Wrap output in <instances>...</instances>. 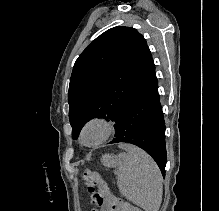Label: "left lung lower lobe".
I'll return each mask as SVG.
<instances>
[{
  "mask_svg": "<svg viewBox=\"0 0 219 211\" xmlns=\"http://www.w3.org/2000/svg\"><path fill=\"white\" fill-rule=\"evenodd\" d=\"M120 142L145 150L165 176V122L156 74L136 93L122 114L116 126L115 139L110 143Z\"/></svg>",
  "mask_w": 219,
  "mask_h": 211,
  "instance_id": "obj_1",
  "label": "left lung lower lobe"
}]
</instances>
